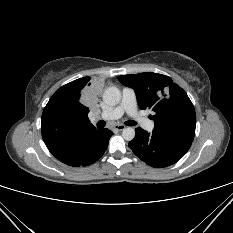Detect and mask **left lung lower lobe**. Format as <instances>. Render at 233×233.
I'll return each mask as SVG.
<instances>
[{
	"instance_id": "left-lung-lower-lobe-1",
	"label": "left lung lower lobe",
	"mask_w": 233,
	"mask_h": 233,
	"mask_svg": "<svg viewBox=\"0 0 233 233\" xmlns=\"http://www.w3.org/2000/svg\"><path fill=\"white\" fill-rule=\"evenodd\" d=\"M135 132L129 147L138 158L152 167L161 168L176 163L191 146L190 142L162 138L140 127L136 128Z\"/></svg>"
}]
</instances>
